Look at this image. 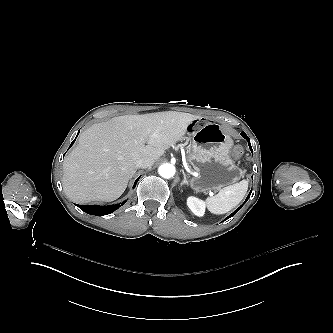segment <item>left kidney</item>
<instances>
[{
	"mask_svg": "<svg viewBox=\"0 0 333 333\" xmlns=\"http://www.w3.org/2000/svg\"><path fill=\"white\" fill-rule=\"evenodd\" d=\"M187 206L196 216L202 217L205 213V202L194 196L187 198Z\"/></svg>",
	"mask_w": 333,
	"mask_h": 333,
	"instance_id": "1",
	"label": "left kidney"
}]
</instances>
